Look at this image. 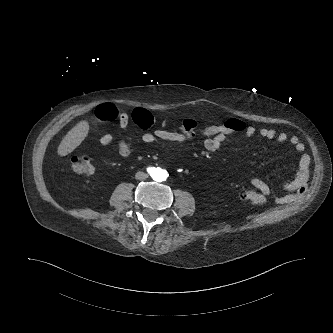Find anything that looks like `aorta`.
Segmentation results:
<instances>
[{
	"label": "aorta",
	"mask_w": 333,
	"mask_h": 333,
	"mask_svg": "<svg viewBox=\"0 0 333 333\" xmlns=\"http://www.w3.org/2000/svg\"><path fill=\"white\" fill-rule=\"evenodd\" d=\"M158 179H159V180H164V179H165V175H164V173H159V174H158Z\"/></svg>",
	"instance_id": "1"
}]
</instances>
